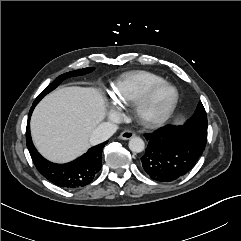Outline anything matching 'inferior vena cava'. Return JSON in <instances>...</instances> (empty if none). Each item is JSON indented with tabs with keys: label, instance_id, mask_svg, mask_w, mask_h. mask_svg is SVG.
<instances>
[{
	"label": "inferior vena cava",
	"instance_id": "602c4592",
	"mask_svg": "<svg viewBox=\"0 0 241 241\" xmlns=\"http://www.w3.org/2000/svg\"><path fill=\"white\" fill-rule=\"evenodd\" d=\"M118 129V126L111 122L99 124L91 133L89 142L91 145L100 144L108 140Z\"/></svg>",
	"mask_w": 241,
	"mask_h": 241
}]
</instances>
